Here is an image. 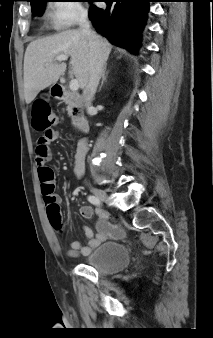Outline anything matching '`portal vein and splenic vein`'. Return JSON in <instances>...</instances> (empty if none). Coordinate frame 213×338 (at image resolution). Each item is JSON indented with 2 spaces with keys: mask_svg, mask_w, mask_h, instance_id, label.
Segmentation results:
<instances>
[{
  "mask_svg": "<svg viewBox=\"0 0 213 338\" xmlns=\"http://www.w3.org/2000/svg\"><path fill=\"white\" fill-rule=\"evenodd\" d=\"M57 61L61 62V61H65L68 59V56L67 55H58L56 58H55ZM70 90L71 91H77L79 89V83L77 81V79H72L70 81Z\"/></svg>",
  "mask_w": 213,
  "mask_h": 338,
  "instance_id": "obj_1",
  "label": "portal vein and splenic vein"
}]
</instances>
